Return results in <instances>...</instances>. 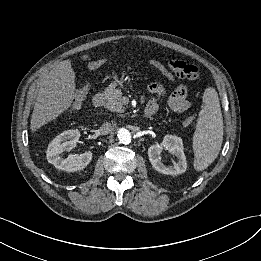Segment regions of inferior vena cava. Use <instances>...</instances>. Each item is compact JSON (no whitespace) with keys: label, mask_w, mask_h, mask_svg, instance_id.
Here are the masks:
<instances>
[{"label":"inferior vena cava","mask_w":261,"mask_h":261,"mask_svg":"<svg viewBox=\"0 0 261 261\" xmlns=\"http://www.w3.org/2000/svg\"><path fill=\"white\" fill-rule=\"evenodd\" d=\"M112 125L109 122H105L101 125L99 131L102 135H106L112 131Z\"/></svg>","instance_id":"obj_1"}]
</instances>
